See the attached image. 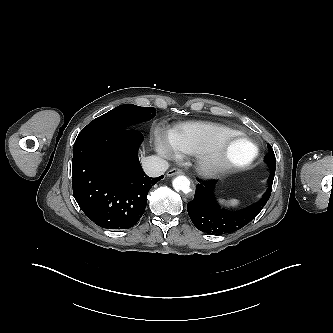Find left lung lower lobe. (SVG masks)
Listing matches in <instances>:
<instances>
[{
	"label": "left lung lower lobe",
	"instance_id": "0a47b994",
	"mask_svg": "<svg viewBox=\"0 0 333 333\" xmlns=\"http://www.w3.org/2000/svg\"><path fill=\"white\" fill-rule=\"evenodd\" d=\"M276 167L270 169L268 189L257 203L236 212L227 211L213 197L215 180L197 185L194 199L187 205L188 214L197 229L205 233L225 234L239 230L252 221L270 198Z\"/></svg>",
	"mask_w": 333,
	"mask_h": 333
}]
</instances>
